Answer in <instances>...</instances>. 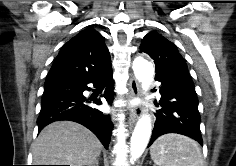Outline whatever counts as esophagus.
Returning a JSON list of instances; mask_svg holds the SVG:
<instances>
[{"mask_svg": "<svg viewBox=\"0 0 236 166\" xmlns=\"http://www.w3.org/2000/svg\"><path fill=\"white\" fill-rule=\"evenodd\" d=\"M140 95V85L137 80L133 77L129 81V93L127 100L129 103V124L135 123L141 114V107L133 103V101Z\"/></svg>", "mask_w": 236, "mask_h": 166, "instance_id": "esophagus-1", "label": "esophagus"}]
</instances>
